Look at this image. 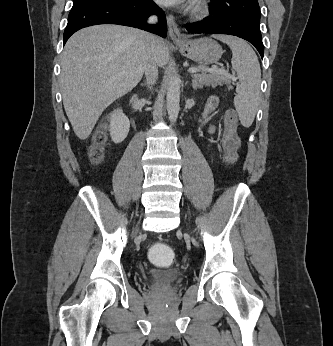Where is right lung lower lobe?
Returning a JSON list of instances; mask_svg holds the SVG:
<instances>
[{
    "label": "right lung lower lobe",
    "mask_w": 333,
    "mask_h": 346,
    "mask_svg": "<svg viewBox=\"0 0 333 346\" xmlns=\"http://www.w3.org/2000/svg\"><path fill=\"white\" fill-rule=\"evenodd\" d=\"M159 16V24H148L146 18ZM98 24H118L143 29L166 37L164 12L153 0H92L72 7L64 31V44L76 31Z\"/></svg>",
    "instance_id": "obj_1"
}]
</instances>
